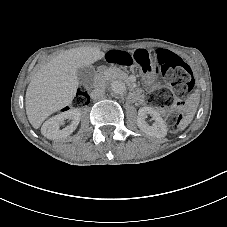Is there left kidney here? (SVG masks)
<instances>
[{"mask_svg": "<svg viewBox=\"0 0 227 227\" xmlns=\"http://www.w3.org/2000/svg\"><path fill=\"white\" fill-rule=\"evenodd\" d=\"M150 115L154 121L153 125H148L146 122L147 116ZM138 127L146 134L157 138H163L167 134V128L164 120L159 113L151 107H141L138 110L137 116Z\"/></svg>", "mask_w": 227, "mask_h": 227, "instance_id": "1", "label": "left kidney"}]
</instances>
